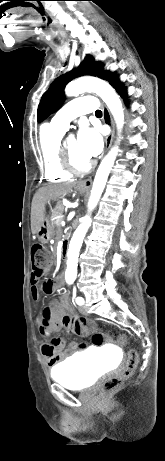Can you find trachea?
<instances>
[{"label":"trachea","mask_w":165,"mask_h":461,"mask_svg":"<svg viewBox=\"0 0 165 461\" xmlns=\"http://www.w3.org/2000/svg\"><path fill=\"white\" fill-rule=\"evenodd\" d=\"M95 115H102L101 110H97V111L95 112Z\"/></svg>","instance_id":"trachea-1"}]
</instances>
